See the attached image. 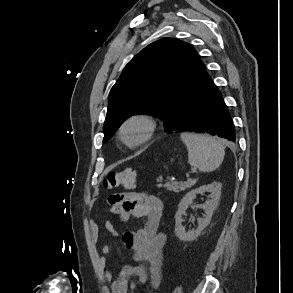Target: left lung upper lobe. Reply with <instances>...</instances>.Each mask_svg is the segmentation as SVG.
Returning a JSON list of instances; mask_svg holds the SVG:
<instances>
[{"instance_id":"1","label":"left lung upper lobe","mask_w":293,"mask_h":293,"mask_svg":"<svg viewBox=\"0 0 293 293\" xmlns=\"http://www.w3.org/2000/svg\"><path fill=\"white\" fill-rule=\"evenodd\" d=\"M211 80L191 45L173 38L151 43L125 66L109 93L103 142L137 114L160 118L172 132L187 104Z\"/></svg>"}]
</instances>
